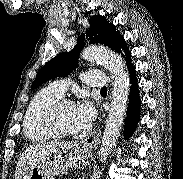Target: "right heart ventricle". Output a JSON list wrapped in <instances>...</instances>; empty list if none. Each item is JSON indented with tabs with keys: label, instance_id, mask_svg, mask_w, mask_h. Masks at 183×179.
Returning a JSON list of instances; mask_svg holds the SVG:
<instances>
[{
	"label": "right heart ventricle",
	"instance_id": "right-heart-ventricle-1",
	"mask_svg": "<svg viewBox=\"0 0 183 179\" xmlns=\"http://www.w3.org/2000/svg\"><path fill=\"white\" fill-rule=\"evenodd\" d=\"M58 93L50 87L38 91L31 100L25 120L24 133L34 142H44L54 137L51 133L47 117L53 104L61 99Z\"/></svg>",
	"mask_w": 183,
	"mask_h": 179
}]
</instances>
